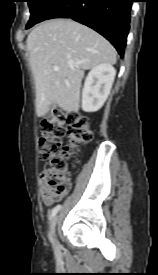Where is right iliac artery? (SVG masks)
<instances>
[{"label":"right iliac artery","instance_id":"right-iliac-artery-1","mask_svg":"<svg viewBox=\"0 0 158 275\" xmlns=\"http://www.w3.org/2000/svg\"><path fill=\"white\" fill-rule=\"evenodd\" d=\"M61 209V205H57L55 206L52 210H51V213H50V216H49V220L51 221L52 218L57 214V212ZM49 238L50 240L52 241V238L49 234Z\"/></svg>","mask_w":158,"mask_h":275}]
</instances>
